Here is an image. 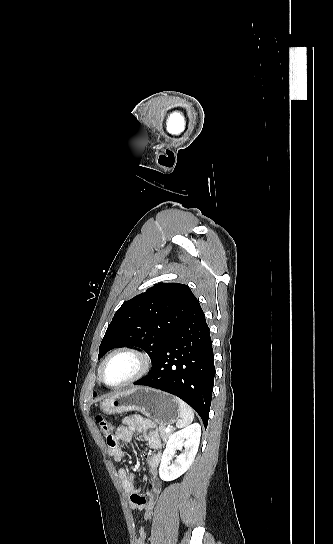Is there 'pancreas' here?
I'll use <instances>...</instances> for the list:
<instances>
[{
  "label": "pancreas",
  "instance_id": "1",
  "mask_svg": "<svg viewBox=\"0 0 333 544\" xmlns=\"http://www.w3.org/2000/svg\"><path fill=\"white\" fill-rule=\"evenodd\" d=\"M157 431L160 433V436L162 438V440L164 442H166L168 440V438L171 436V432H166L165 431V426L164 425H159Z\"/></svg>",
  "mask_w": 333,
  "mask_h": 544
}]
</instances>
